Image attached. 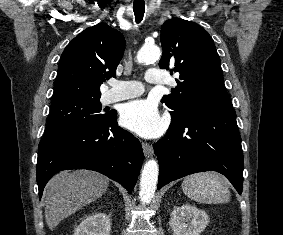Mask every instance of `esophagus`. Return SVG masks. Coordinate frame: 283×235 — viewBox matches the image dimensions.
<instances>
[{"mask_svg": "<svg viewBox=\"0 0 283 235\" xmlns=\"http://www.w3.org/2000/svg\"><path fill=\"white\" fill-rule=\"evenodd\" d=\"M143 153L146 158H150L153 155V146L149 143L142 142Z\"/></svg>", "mask_w": 283, "mask_h": 235, "instance_id": "1", "label": "esophagus"}]
</instances>
